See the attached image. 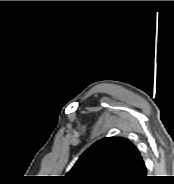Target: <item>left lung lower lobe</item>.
I'll return each instance as SVG.
<instances>
[{
	"mask_svg": "<svg viewBox=\"0 0 174 184\" xmlns=\"http://www.w3.org/2000/svg\"><path fill=\"white\" fill-rule=\"evenodd\" d=\"M146 173H147L146 167L144 165L141 156L139 155L133 170L132 178L129 180L127 184H144L148 178L146 176Z\"/></svg>",
	"mask_w": 174,
	"mask_h": 184,
	"instance_id": "obj_1",
	"label": "left lung lower lobe"
}]
</instances>
